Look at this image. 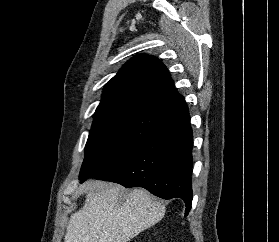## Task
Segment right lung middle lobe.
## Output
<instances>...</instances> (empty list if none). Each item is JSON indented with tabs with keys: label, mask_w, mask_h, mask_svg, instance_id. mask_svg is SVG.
<instances>
[{
	"label": "right lung middle lobe",
	"mask_w": 279,
	"mask_h": 242,
	"mask_svg": "<svg viewBox=\"0 0 279 242\" xmlns=\"http://www.w3.org/2000/svg\"><path fill=\"white\" fill-rule=\"evenodd\" d=\"M159 122V115L145 112L96 114L85 146L80 179L106 171L149 138Z\"/></svg>",
	"instance_id": "dd1d6c3e"
}]
</instances>
